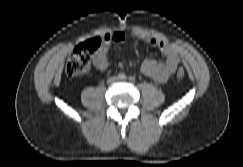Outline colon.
<instances>
[{
  "label": "colon",
  "instance_id": "colon-1",
  "mask_svg": "<svg viewBox=\"0 0 243 167\" xmlns=\"http://www.w3.org/2000/svg\"><path fill=\"white\" fill-rule=\"evenodd\" d=\"M103 38L93 37L78 44L73 50L66 64V73L71 77H78L89 72L93 55L101 48ZM177 78L185 76V71L179 68Z\"/></svg>",
  "mask_w": 243,
  "mask_h": 167
}]
</instances>
